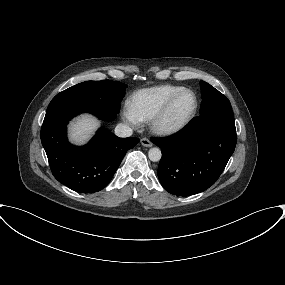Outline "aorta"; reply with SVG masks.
Listing matches in <instances>:
<instances>
[{
    "label": "aorta",
    "instance_id": "obj_1",
    "mask_svg": "<svg viewBox=\"0 0 285 285\" xmlns=\"http://www.w3.org/2000/svg\"><path fill=\"white\" fill-rule=\"evenodd\" d=\"M161 150L157 147L151 148L148 152V157L151 161L157 162L161 159Z\"/></svg>",
    "mask_w": 285,
    "mask_h": 285
}]
</instances>
